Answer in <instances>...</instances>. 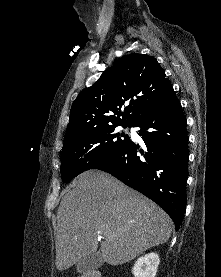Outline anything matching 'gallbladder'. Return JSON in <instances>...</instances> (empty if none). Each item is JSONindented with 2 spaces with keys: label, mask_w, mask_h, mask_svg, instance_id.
Instances as JSON below:
<instances>
[{
  "label": "gallbladder",
  "mask_w": 221,
  "mask_h": 277,
  "mask_svg": "<svg viewBox=\"0 0 221 277\" xmlns=\"http://www.w3.org/2000/svg\"><path fill=\"white\" fill-rule=\"evenodd\" d=\"M100 252H93L83 257L76 265L78 273H88L98 269L103 264Z\"/></svg>",
  "instance_id": "obj_1"
}]
</instances>
